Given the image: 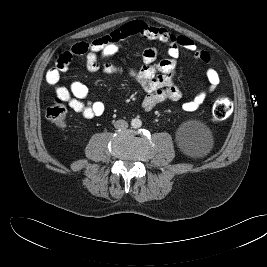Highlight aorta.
I'll use <instances>...</instances> for the list:
<instances>
[{"label": "aorta", "instance_id": "obj_1", "mask_svg": "<svg viewBox=\"0 0 267 267\" xmlns=\"http://www.w3.org/2000/svg\"><path fill=\"white\" fill-rule=\"evenodd\" d=\"M131 126L134 129L140 128L142 126V121L139 118H134L131 120Z\"/></svg>", "mask_w": 267, "mask_h": 267}]
</instances>
